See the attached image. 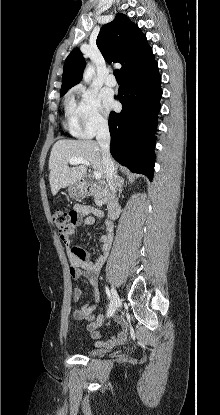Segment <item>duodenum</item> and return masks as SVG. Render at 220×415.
<instances>
[{"label": "duodenum", "instance_id": "1", "mask_svg": "<svg viewBox=\"0 0 220 415\" xmlns=\"http://www.w3.org/2000/svg\"><path fill=\"white\" fill-rule=\"evenodd\" d=\"M81 188L87 193H100L107 197L108 216L110 220H114L119 216L120 203L114 197L112 191L107 184H93L89 181L83 180L80 182Z\"/></svg>", "mask_w": 220, "mask_h": 415}]
</instances>
